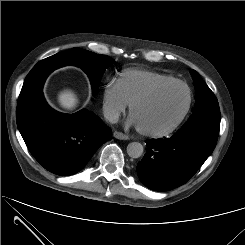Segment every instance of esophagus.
<instances>
[{"label": "esophagus", "mask_w": 245, "mask_h": 245, "mask_svg": "<svg viewBox=\"0 0 245 245\" xmlns=\"http://www.w3.org/2000/svg\"><path fill=\"white\" fill-rule=\"evenodd\" d=\"M113 136L117 139H120V140H128L129 139L128 135H126L122 132H119V131H114Z\"/></svg>", "instance_id": "1"}]
</instances>
